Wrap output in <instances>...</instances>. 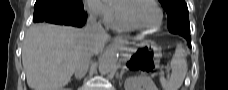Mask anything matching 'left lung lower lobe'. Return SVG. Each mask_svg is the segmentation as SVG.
I'll return each instance as SVG.
<instances>
[{
	"instance_id": "1",
	"label": "left lung lower lobe",
	"mask_w": 228,
	"mask_h": 90,
	"mask_svg": "<svg viewBox=\"0 0 228 90\" xmlns=\"http://www.w3.org/2000/svg\"><path fill=\"white\" fill-rule=\"evenodd\" d=\"M169 31L172 32V33H177V34L183 36V37L186 38L188 41L191 40L190 33L178 32V31H174V30H169ZM189 46H191V45L189 44Z\"/></svg>"
}]
</instances>
